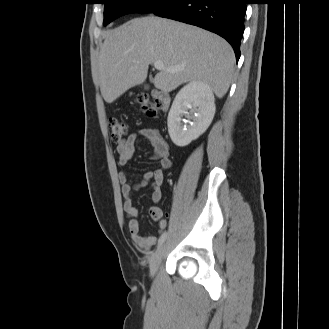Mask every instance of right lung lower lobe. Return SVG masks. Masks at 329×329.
<instances>
[{
	"mask_svg": "<svg viewBox=\"0 0 329 329\" xmlns=\"http://www.w3.org/2000/svg\"><path fill=\"white\" fill-rule=\"evenodd\" d=\"M246 3V0H172L153 13L220 35L233 47L238 61Z\"/></svg>",
	"mask_w": 329,
	"mask_h": 329,
	"instance_id": "right-lung-lower-lobe-1",
	"label": "right lung lower lobe"
}]
</instances>
